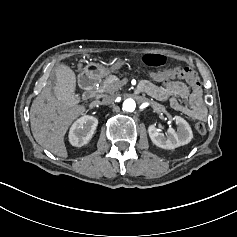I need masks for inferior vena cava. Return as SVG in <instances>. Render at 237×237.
Listing matches in <instances>:
<instances>
[{
	"instance_id": "602c4592",
	"label": "inferior vena cava",
	"mask_w": 237,
	"mask_h": 237,
	"mask_svg": "<svg viewBox=\"0 0 237 237\" xmlns=\"http://www.w3.org/2000/svg\"><path fill=\"white\" fill-rule=\"evenodd\" d=\"M116 102V97L114 95H107L103 98L102 104L103 105H111Z\"/></svg>"
}]
</instances>
